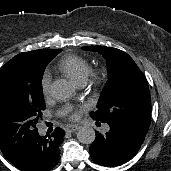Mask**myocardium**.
Listing matches in <instances>:
<instances>
[{
    "label": "myocardium",
    "instance_id": "obj_1",
    "mask_svg": "<svg viewBox=\"0 0 171 171\" xmlns=\"http://www.w3.org/2000/svg\"><path fill=\"white\" fill-rule=\"evenodd\" d=\"M90 80L94 83L100 79V74L99 73H90Z\"/></svg>",
    "mask_w": 171,
    "mask_h": 171
}]
</instances>
